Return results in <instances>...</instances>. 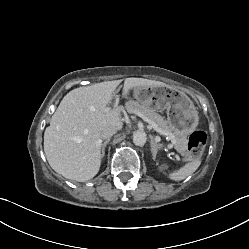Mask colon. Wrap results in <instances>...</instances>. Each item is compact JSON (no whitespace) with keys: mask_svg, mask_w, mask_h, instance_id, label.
Listing matches in <instances>:
<instances>
[{"mask_svg":"<svg viewBox=\"0 0 249 249\" xmlns=\"http://www.w3.org/2000/svg\"><path fill=\"white\" fill-rule=\"evenodd\" d=\"M207 136L203 131L194 132L188 141V152L191 156L200 155L206 145Z\"/></svg>","mask_w":249,"mask_h":249,"instance_id":"5ec220e1","label":"colon"}]
</instances>
